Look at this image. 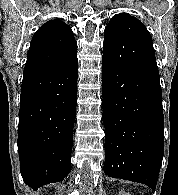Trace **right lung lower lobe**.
Returning <instances> with one entry per match:
<instances>
[{
  "label": "right lung lower lobe",
  "instance_id": "98d812e1",
  "mask_svg": "<svg viewBox=\"0 0 178 195\" xmlns=\"http://www.w3.org/2000/svg\"><path fill=\"white\" fill-rule=\"evenodd\" d=\"M77 67L23 76L17 144L21 175L35 190L71 169Z\"/></svg>",
  "mask_w": 178,
  "mask_h": 195
}]
</instances>
